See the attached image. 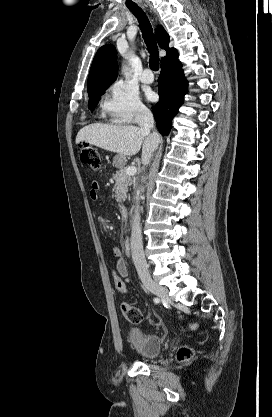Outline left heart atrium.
Listing matches in <instances>:
<instances>
[{"mask_svg":"<svg viewBox=\"0 0 272 417\" xmlns=\"http://www.w3.org/2000/svg\"><path fill=\"white\" fill-rule=\"evenodd\" d=\"M147 97H148L149 100H154L155 99V93L150 91V92L147 93Z\"/></svg>","mask_w":272,"mask_h":417,"instance_id":"1","label":"left heart atrium"}]
</instances>
